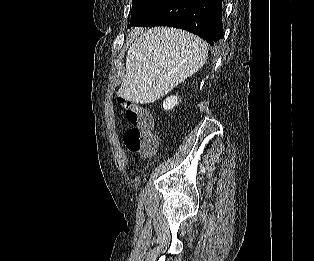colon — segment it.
<instances>
[{
  "label": "colon",
  "instance_id": "1",
  "mask_svg": "<svg viewBox=\"0 0 314 261\" xmlns=\"http://www.w3.org/2000/svg\"><path fill=\"white\" fill-rule=\"evenodd\" d=\"M122 115L131 127L124 134V144L130 152L152 154L157 143L151 113L144 107L122 100Z\"/></svg>",
  "mask_w": 314,
  "mask_h": 261
}]
</instances>
